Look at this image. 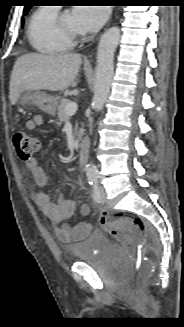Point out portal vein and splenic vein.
<instances>
[{"label": "portal vein and splenic vein", "mask_w": 184, "mask_h": 327, "mask_svg": "<svg viewBox=\"0 0 184 327\" xmlns=\"http://www.w3.org/2000/svg\"><path fill=\"white\" fill-rule=\"evenodd\" d=\"M77 108H78L77 103L70 102V103H68L66 105L65 112H66L67 115H70L71 116V115H73L77 111Z\"/></svg>", "instance_id": "obj_1"}]
</instances>
